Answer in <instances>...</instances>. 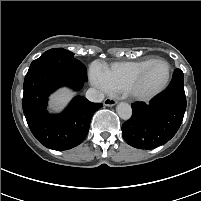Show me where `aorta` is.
<instances>
[{"mask_svg":"<svg viewBox=\"0 0 201 201\" xmlns=\"http://www.w3.org/2000/svg\"><path fill=\"white\" fill-rule=\"evenodd\" d=\"M117 114L119 115L120 118L123 120H128L130 119L132 115V108L128 103L121 102L117 105L116 107Z\"/></svg>","mask_w":201,"mask_h":201,"instance_id":"1","label":"aorta"}]
</instances>
